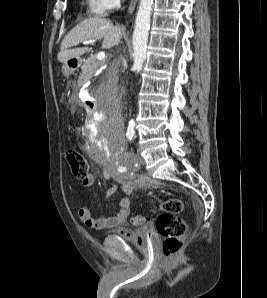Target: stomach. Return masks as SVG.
<instances>
[{
  "label": "stomach",
  "mask_w": 267,
  "mask_h": 298,
  "mask_svg": "<svg viewBox=\"0 0 267 298\" xmlns=\"http://www.w3.org/2000/svg\"><path fill=\"white\" fill-rule=\"evenodd\" d=\"M81 62L82 61L80 58H73L66 61L62 67L63 74L68 76L69 74L73 73L81 65Z\"/></svg>",
  "instance_id": "obj_1"
}]
</instances>
